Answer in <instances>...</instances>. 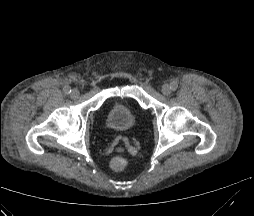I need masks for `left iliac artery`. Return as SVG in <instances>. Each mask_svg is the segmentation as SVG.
<instances>
[{"label":"left iliac artery","mask_w":254,"mask_h":216,"mask_svg":"<svg viewBox=\"0 0 254 216\" xmlns=\"http://www.w3.org/2000/svg\"><path fill=\"white\" fill-rule=\"evenodd\" d=\"M170 87H171V90L175 91L178 88L177 82H172Z\"/></svg>","instance_id":"left-iliac-artery-1"}]
</instances>
